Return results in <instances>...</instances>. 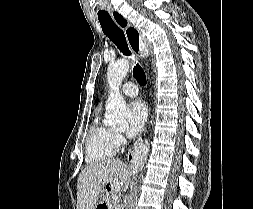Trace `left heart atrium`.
<instances>
[{
  "instance_id": "left-heart-atrium-1",
  "label": "left heart atrium",
  "mask_w": 253,
  "mask_h": 209,
  "mask_svg": "<svg viewBox=\"0 0 253 209\" xmlns=\"http://www.w3.org/2000/svg\"><path fill=\"white\" fill-rule=\"evenodd\" d=\"M148 116L146 104L142 100H135L130 107L129 126L127 135L134 137L144 128Z\"/></svg>"
}]
</instances>
